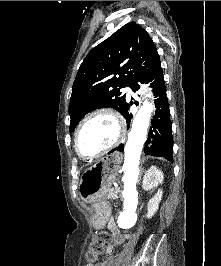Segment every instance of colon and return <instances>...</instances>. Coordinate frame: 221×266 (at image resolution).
I'll list each match as a JSON object with an SVG mask.
<instances>
[{"label":"colon","instance_id":"obj_1","mask_svg":"<svg viewBox=\"0 0 221 266\" xmlns=\"http://www.w3.org/2000/svg\"><path fill=\"white\" fill-rule=\"evenodd\" d=\"M109 240V234L105 231L97 233L89 247L87 258L89 261H94L103 252Z\"/></svg>","mask_w":221,"mask_h":266}]
</instances>
